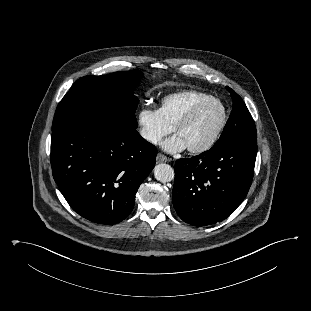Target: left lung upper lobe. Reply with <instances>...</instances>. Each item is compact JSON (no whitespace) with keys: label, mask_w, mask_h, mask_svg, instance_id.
Listing matches in <instances>:
<instances>
[{"label":"left lung upper lobe","mask_w":311,"mask_h":311,"mask_svg":"<svg viewBox=\"0 0 311 311\" xmlns=\"http://www.w3.org/2000/svg\"><path fill=\"white\" fill-rule=\"evenodd\" d=\"M233 100V110L224 130L212 148H220L237 141H256L254 120L241 97L227 87Z\"/></svg>","instance_id":"1"}]
</instances>
